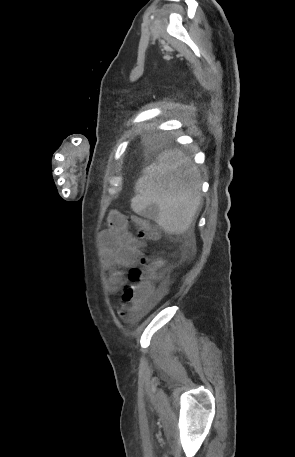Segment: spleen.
Listing matches in <instances>:
<instances>
[{
	"label": "spleen",
	"instance_id": "obj_1",
	"mask_svg": "<svg viewBox=\"0 0 295 457\" xmlns=\"http://www.w3.org/2000/svg\"><path fill=\"white\" fill-rule=\"evenodd\" d=\"M135 190L133 211L153 219L169 234L184 233L201 202L200 175L179 150L163 152L157 163L146 167Z\"/></svg>",
	"mask_w": 295,
	"mask_h": 457
}]
</instances>
